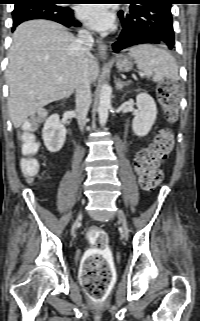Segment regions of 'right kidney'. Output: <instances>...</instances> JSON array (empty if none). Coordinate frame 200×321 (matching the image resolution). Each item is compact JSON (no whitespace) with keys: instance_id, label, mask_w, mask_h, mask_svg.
Returning a JSON list of instances; mask_svg holds the SVG:
<instances>
[{"instance_id":"1","label":"right kidney","mask_w":200,"mask_h":321,"mask_svg":"<svg viewBox=\"0 0 200 321\" xmlns=\"http://www.w3.org/2000/svg\"><path fill=\"white\" fill-rule=\"evenodd\" d=\"M67 130L60 122L59 115H51L44 124L42 138L46 148L54 153L58 152L65 141Z\"/></svg>"}]
</instances>
